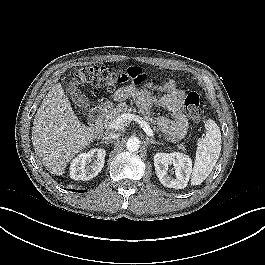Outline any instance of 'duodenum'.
<instances>
[{
  "mask_svg": "<svg viewBox=\"0 0 265 265\" xmlns=\"http://www.w3.org/2000/svg\"><path fill=\"white\" fill-rule=\"evenodd\" d=\"M106 111V105L100 104L96 106L89 114V124L93 127L94 135L100 136L102 134L101 122Z\"/></svg>",
  "mask_w": 265,
  "mask_h": 265,
  "instance_id": "duodenum-1",
  "label": "duodenum"
}]
</instances>
